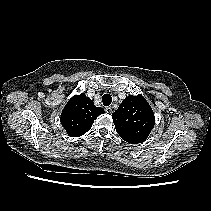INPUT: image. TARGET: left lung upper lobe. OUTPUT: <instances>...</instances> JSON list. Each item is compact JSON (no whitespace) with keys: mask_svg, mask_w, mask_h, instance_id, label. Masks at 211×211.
Here are the masks:
<instances>
[{"mask_svg":"<svg viewBox=\"0 0 211 211\" xmlns=\"http://www.w3.org/2000/svg\"><path fill=\"white\" fill-rule=\"evenodd\" d=\"M112 118L119 136L132 144L144 142L155 123L153 110L142 95L126 97Z\"/></svg>","mask_w":211,"mask_h":211,"instance_id":"1","label":"left lung upper lobe"}]
</instances>
